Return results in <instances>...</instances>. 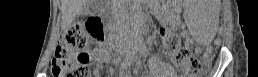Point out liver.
<instances>
[{
  "label": "liver",
  "instance_id": "1",
  "mask_svg": "<svg viewBox=\"0 0 258 77\" xmlns=\"http://www.w3.org/2000/svg\"><path fill=\"white\" fill-rule=\"evenodd\" d=\"M90 0H61L62 5V27L67 28L74 21L75 17L79 15L84 6Z\"/></svg>",
  "mask_w": 258,
  "mask_h": 77
}]
</instances>
